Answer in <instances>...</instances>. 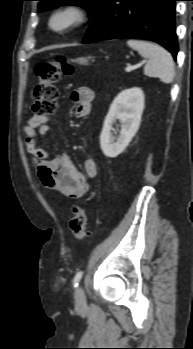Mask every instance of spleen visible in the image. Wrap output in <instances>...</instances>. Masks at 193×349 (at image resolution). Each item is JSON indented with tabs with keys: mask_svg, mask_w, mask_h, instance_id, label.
<instances>
[{
	"mask_svg": "<svg viewBox=\"0 0 193 349\" xmlns=\"http://www.w3.org/2000/svg\"><path fill=\"white\" fill-rule=\"evenodd\" d=\"M127 45L135 49L139 54L148 59L144 67V74L148 77L159 78L165 84L173 81L175 67L172 55L163 47L142 40L130 39Z\"/></svg>",
	"mask_w": 193,
	"mask_h": 349,
	"instance_id": "spleen-1",
	"label": "spleen"
}]
</instances>
